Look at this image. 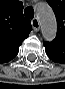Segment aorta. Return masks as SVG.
Returning <instances> with one entry per match:
<instances>
[{
  "mask_svg": "<svg viewBox=\"0 0 65 89\" xmlns=\"http://www.w3.org/2000/svg\"><path fill=\"white\" fill-rule=\"evenodd\" d=\"M37 15L41 25L43 38L51 41L55 38L57 24L55 14L47 3H40L36 7Z\"/></svg>",
  "mask_w": 65,
  "mask_h": 89,
  "instance_id": "obj_1",
  "label": "aorta"
}]
</instances>
